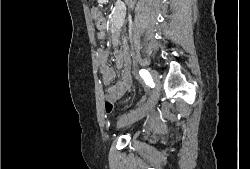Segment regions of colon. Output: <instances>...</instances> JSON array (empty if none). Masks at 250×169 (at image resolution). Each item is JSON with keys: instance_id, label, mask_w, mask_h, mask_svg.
Returning a JSON list of instances; mask_svg holds the SVG:
<instances>
[{"instance_id": "obj_1", "label": "colon", "mask_w": 250, "mask_h": 169, "mask_svg": "<svg viewBox=\"0 0 250 169\" xmlns=\"http://www.w3.org/2000/svg\"><path fill=\"white\" fill-rule=\"evenodd\" d=\"M95 29V34H100V40H105V35L102 34V25L100 22H97ZM102 34V35H101ZM114 104V99H107V103H105V108H113ZM106 114H113V109H106Z\"/></svg>"}]
</instances>
